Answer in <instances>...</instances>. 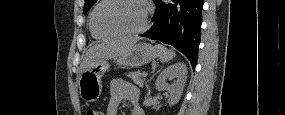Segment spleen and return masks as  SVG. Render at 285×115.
<instances>
[{
	"label": "spleen",
	"mask_w": 285,
	"mask_h": 115,
	"mask_svg": "<svg viewBox=\"0 0 285 115\" xmlns=\"http://www.w3.org/2000/svg\"><path fill=\"white\" fill-rule=\"evenodd\" d=\"M155 48L158 51L160 61L163 63L172 60L176 56L173 50L166 48L162 44H157Z\"/></svg>",
	"instance_id": "obj_1"
}]
</instances>
